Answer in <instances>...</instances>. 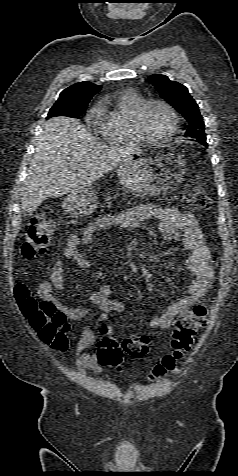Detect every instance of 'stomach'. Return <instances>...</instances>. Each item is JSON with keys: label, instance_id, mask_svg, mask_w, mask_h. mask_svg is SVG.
I'll return each instance as SVG.
<instances>
[{"label": "stomach", "instance_id": "obj_1", "mask_svg": "<svg viewBox=\"0 0 238 476\" xmlns=\"http://www.w3.org/2000/svg\"><path fill=\"white\" fill-rule=\"evenodd\" d=\"M186 162L173 148L164 144H147L146 151L134 152L132 159L118 166V179L123 188L145 196L170 191L185 172ZM98 203L93 186L83 187L67 194L64 209L74 216H85Z\"/></svg>", "mask_w": 238, "mask_h": 476}]
</instances>
